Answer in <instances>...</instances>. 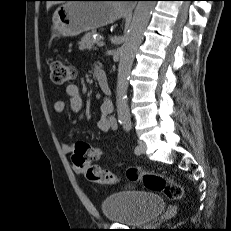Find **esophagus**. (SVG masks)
Segmentation results:
<instances>
[{"mask_svg": "<svg viewBox=\"0 0 231 231\" xmlns=\"http://www.w3.org/2000/svg\"><path fill=\"white\" fill-rule=\"evenodd\" d=\"M123 9H127L128 11L132 10L134 8V5L132 4H124L122 6Z\"/></svg>", "mask_w": 231, "mask_h": 231, "instance_id": "34e87169", "label": "esophagus"}]
</instances>
